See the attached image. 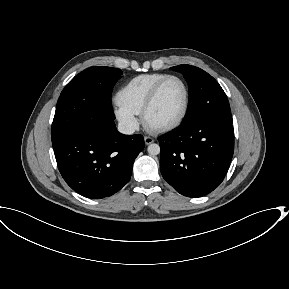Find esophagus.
Returning a JSON list of instances; mask_svg holds the SVG:
<instances>
[{"mask_svg": "<svg viewBox=\"0 0 289 289\" xmlns=\"http://www.w3.org/2000/svg\"><path fill=\"white\" fill-rule=\"evenodd\" d=\"M144 142H145L146 145H149V144L154 142V139L149 137V136H145L144 137Z\"/></svg>", "mask_w": 289, "mask_h": 289, "instance_id": "34e87169", "label": "esophagus"}]
</instances>
